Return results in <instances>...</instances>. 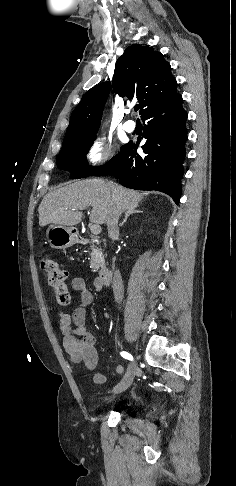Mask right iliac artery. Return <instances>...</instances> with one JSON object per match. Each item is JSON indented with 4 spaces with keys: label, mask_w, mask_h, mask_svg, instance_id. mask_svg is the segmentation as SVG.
Segmentation results:
<instances>
[{
    "label": "right iliac artery",
    "mask_w": 236,
    "mask_h": 486,
    "mask_svg": "<svg viewBox=\"0 0 236 486\" xmlns=\"http://www.w3.org/2000/svg\"><path fill=\"white\" fill-rule=\"evenodd\" d=\"M120 354L125 359L131 360V361L133 360L132 355L130 353H128V352L122 351Z\"/></svg>",
    "instance_id": "82829eb1"
}]
</instances>
